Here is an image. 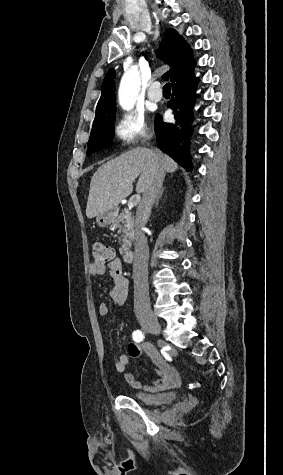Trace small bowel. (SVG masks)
<instances>
[{"instance_id": "1", "label": "small bowel", "mask_w": 283, "mask_h": 475, "mask_svg": "<svg viewBox=\"0 0 283 475\" xmlns=\"http://www.w3.org/2000/svg\"><path fill=\"white\" fill-rule=\"evenodd\" d=\"M88 272L91 276H102L109 273L112 279V288L109 296L116 307H121L125 304L128 297V280L123 275L122 262L120 259H112L107 264H97L92 262L88 266ZM108 305L101 302L98 305V314L106 316L108 314ZM145 352L150 363L148 364L158 375L159 379L150 385H144L139 380L134 372H127V367L130 358H139ZM115 370L124 374L125 381L133 388L140 389L146 387L150 390H167L172 389L181 384V378L178 371L169 363H167L156 348L151 344H137L131 343L128 347L127 354H121L114 364Z\"/></svg>"}]
</instances>
